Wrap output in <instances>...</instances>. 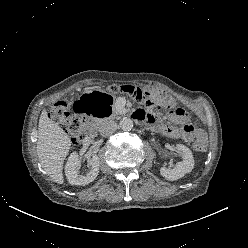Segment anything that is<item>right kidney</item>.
Listing matches in <instances>:
<instances>
[{
    "mask_svg": "<svg viewBox=\"0 0 248 248\" xmlns=\"http://www.w3.org/2000/svg\"><path fill=\"white\" fill-rule=\"evenodd\" d=\"M80 164L81 163L78 154L76 152L71 153L65 166V175L71 185L84 186L89 184L97 177L99 173L100 161L97 155H94L88 161V165L91 170L85 175H80L77 171V168L80 166Z\"/></svg>",
    "mask_w": 248,
    "mask_h": 248,
    "instance_id": "1",
    "label": "right kidney"
}]
</instances>
